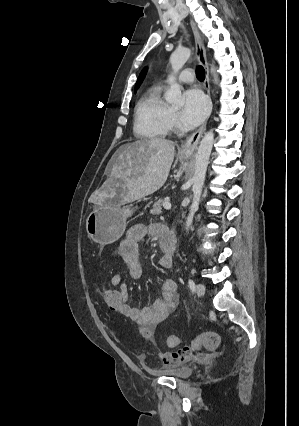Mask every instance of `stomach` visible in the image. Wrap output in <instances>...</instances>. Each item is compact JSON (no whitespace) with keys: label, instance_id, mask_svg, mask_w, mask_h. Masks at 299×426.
I'll list each match as a JSON object with an SVG mask.
<instances>
[{"label":"stomach","instance_id":"0dacf381","mask_svg":"<svg viewBox=\"0 0 299 426\" xmlns=\"http://www.w3.org/2000/svg\"><path fill=\"white\" fill-rule=\"evenodd\" d=\"M188 155H181V159L187 160ZM131 206L121 207L107 203L96 207L86 219V231L90 239L101 246L109 245L117 241L124 233L127 226V218L133 213Z\"/></svg>","mask_w":299,"mask_h":426}]
</instances>
